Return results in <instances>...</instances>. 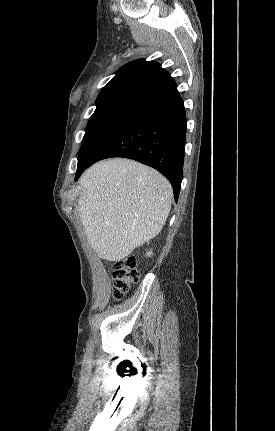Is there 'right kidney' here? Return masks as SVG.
<instances>
[{
	"label": "right kidney",
	"instance_id": "ca27d5eb",
	"mask_svg": "<svg viewBox=\"0 0 275 431\" xmlns=\"http://www.w3.org/2000/svg\"><path fill=\"white\" fill-rule=\"evenodd\" d=\"M147 255H148V256L152 255V252H148V253H147Z\"/></svg>",
	"mask_w": 275,
	"mask_h": 431
}]
</instances>
